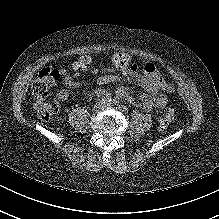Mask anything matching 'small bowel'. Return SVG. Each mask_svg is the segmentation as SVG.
Here are the masks:
<instances>
[{
  "mask_svg": "<svg viewBox=\"0 0 219 219\" xmlns=\"http://www.w3.org/2000/svg\"><path fill=\"white\" fill-rule=\"evenodd\" d=\"M112 62L114 66L120 71V74L115 72L112 68L108 70V73L100 75L97 78L99 85H108L112 83H135L139 85L143 90L137 100L132 92L124 87L116 89L115 94L129 102L135 107L141 108L146 112L152 110L161 112L168 104L167 95L172 94L174 91L173 86L165 81L158 73L157 69L152 64H145L140 70L138 66L131 62L130 57L121 51L115 52L112 55ZM90 63V58L87 56L79 57L73 63L74 75L64 73L63 86L58 90L55 96L56 106H60L62 101H65L69 97L70 90L73 88H79L84 85L83 82L77 80V77L86 70ZM95 93L98 96H105L109 94L104 89H96Z\"/></svg>",
  "mask_w": 219,
  "mask_h": 219,
  "instance_id": "1",
  "label": "small bowel"
}]
</instances>
